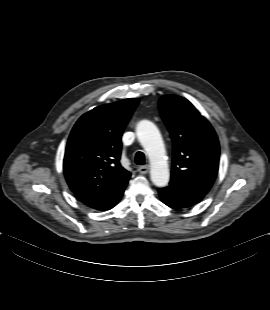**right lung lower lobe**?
Here are the masks:
<instances>
[{
	"mask_svg": "<svg viewBox=\"0 0 270 310\" xmlns=\"http://www.w3.org/2000/svg\"><path fill=\"white\" fill-rule=\"evenodd\" d=\"M127 183L128 181L124 182L119 187H117L113 192L106 195L102 199H99L87 205L97 210H109L113 208L119 202L121 196L123 195Z\"/></svg>",
	"mask_w": 270,
	"mask_h": 310,
	"instance_id": "98d812e1",
	"label": "right lung lower lobe"
}]
</instances>
